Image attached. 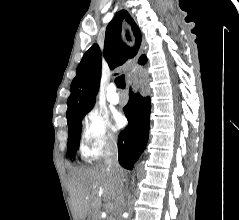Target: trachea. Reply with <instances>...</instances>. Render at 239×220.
Here are the masks:
<instances>
[{"instance_id":"trachea-1","label":"trachea","mask_w":239,"mask_h":220,"mask_svg":"<svg viewBox=\"0 0 239 220\" xmlns=\"http://www.w3.org/2000/svg\"><path fill=\"white\" fill-rule=\"evenodd\" d=\"M115 83H116L118 88L124 89L125 86H126L124 74L121 75V76L116 77Z\"/></svg>"}]
</instances>
